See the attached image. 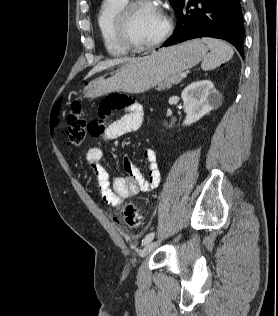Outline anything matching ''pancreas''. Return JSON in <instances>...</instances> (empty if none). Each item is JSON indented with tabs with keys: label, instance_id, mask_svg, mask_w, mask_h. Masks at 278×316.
<instances>
[{
	"label": "pancreas",
	"instance_id": "1",
	"mask_svg": "<svg viewBox=\"0 0 278 316\" xmlns=\"http://www.w3.org/2000/svg\"><path fill=\"white\" fill-rule=\"evenodd\" d=\"M181 74H175L170 76L169 78L165 79L163 83H160L158 85L157 90H165L172 87V85H176L181 82L182 78L180 76Z\"/></svg>",
	"mask_w": 278,
	"mask_h": 316
}]
</instances>
